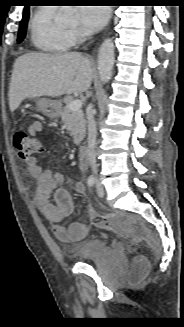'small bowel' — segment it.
Segmentation results:
<instances>
[{
  "label": "small bowel",
  "instance_id": "1",
  "mask_svg": "<svg viewBox=\"0 0 184 327\" xmlns=\"http://www.w3.org/2000/svg\"><path fill=\"white\" fill-rule=\"evenodd\" d=\"M43 125L40 120H33L28 126V132L36 137L42 132ZM27 172L37 182L33 193V201L40 212L52 225L55 237L61 241H76L83 239L87 232L86 223L76 221L67 228L60 222L68 217L73 211V200L69 192L60 187L64 182V175L50 169H43L35 159L27 163ZM76 191H85L83 183L76 184Z\"/></svg>",
  "mask_w": 184,
  "mask_h": 327
}]
</instances>
